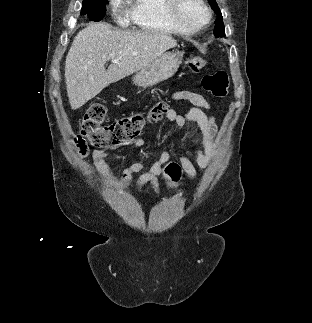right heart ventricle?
I'll return each instance as SVG.
<instances>
[{
	"instance_id": "e07e8e85",
	"label": "right heart ventricle",
	"mask_w": 312,
	"mask_h": 323,
	"mask_svg": "<svg viewBox=\"0 0 312 323\" xmlns=\"http://www.w3.org/2000/svg\"><path fill=\"white\" fill-rule=\"evenodd\" d=\"M129 20L135 29H167L168 33H179L187 29V22H176L173 5L166 0H134Z\"/></svg>"
}]
</instances>
